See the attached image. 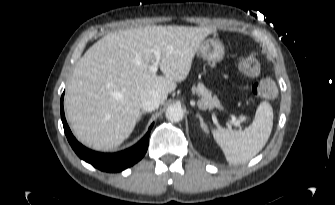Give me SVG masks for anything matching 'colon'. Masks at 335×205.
Masks as SVG:
<instances>
[{"instance_id": "obj_1", "label": "colon", "mask_w": 335, "mask_h": 205, "mask_svg": "<svg viewBox=\"0 0 335 205\" xmlns=\"http://www.w3.org/2000/svg\"><path fill=\"white\" fill-rule=\"evenodd\" d=\"M239 69L245 76H256L260 71L258 54L252 52L243 56L239 62ZM253 93L261 99H273L277 95V87L273 79L266 77L253 86Z\"/></svg>"}]
</instances>
